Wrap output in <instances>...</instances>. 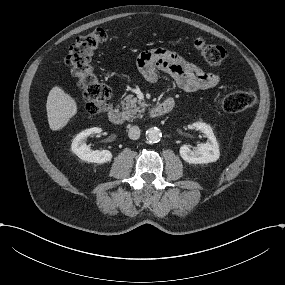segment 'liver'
Wrapping results in <instances>:
<instances>
[{"instance_id":"liver-1","label":"liver","mask_w":285,"mask_h":285,"mask_svg":"<svg viewBox=\"0 0 285 285\" xmlns=\"http://www.w3.org/2000/svg\"><path fill=\"white\" fill-rule=\"evenodd\" d=\"M46 109L49 127L56 131L66 126L70 118L76 115L77 104L70 95L55 86L48 94Z\"/></svg>"}]
</instances>
